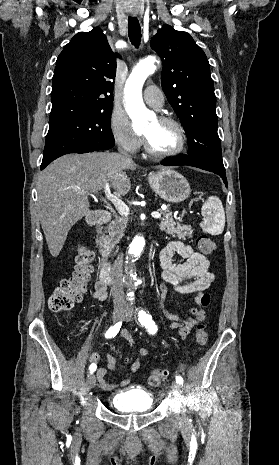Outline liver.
<instances>
[{"label": "liver", "instance_id": "obj_1", "mask_svg": "<svg viewBox=\"0 0 279 465\" xmlns=\"http://www.w3.org/2000/svg\"><path fill=\"white\" fill-rule=\"evenodd\" d=\"M136 167L120 154L93 152L64 155L39 173L37 212L53 257L59 255L71 227L91 214L88 194L110 183L118 195H126L131 188L126 170Z\"/></svg>", "mask_w": 279, "mask_h": 465}]
</instances>
